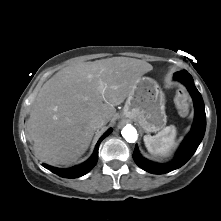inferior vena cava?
Segmentation results:
<instances>
[{"label": "inferior vena cava", "mask_w": 221, "mask_h": 221, "mask_svg": "<svg viewBox=\"0 0 221 221\" xmlns=\"http://www.w3.org/2000/svg\"><path fill=\"white\" fill-rule=\"evenodd\" d=\"M105 120L102 117H95L91 120V125L95 128H101L103 125H105Z\"/></svg>", "instance_id": "obj_1"}]
</instances>
